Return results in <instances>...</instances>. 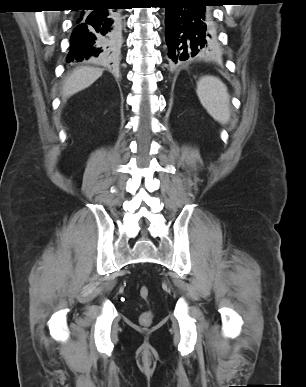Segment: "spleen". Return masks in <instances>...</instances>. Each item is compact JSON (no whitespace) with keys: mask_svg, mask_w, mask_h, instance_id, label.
Instances as JSON below:
<instances>
[{"mask_svg":"<svg viewBox=\"0 0 306 387\" xmlns=\"http://www.w3.org/2000/svg\"><path fill=\"white\" fill-rule=\"evenodd\" d=\"M197 95L203 107L221 124L230 119L229 94L226 85L217 77L204 76L197 83Z\"/></svg>","mask_w":306,"mask_h":387,"instance_id":"1","label":"spleen"}]
</instances>
